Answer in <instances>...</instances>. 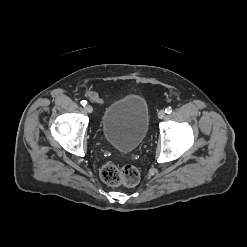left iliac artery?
<instances>
[{
  "label": "left iliac artery",
  "mask_w": 247,
  "mask_h": 247,
  "mask_svg": "<svg viewBox=\"0 0 247 247\" xmlns=\"http://www.w3.org/2000/svg\"><path fill=\"white\" fill-rule=\"evenodd\" d=\"M171 112H172V108L171 107H167L165 109V113L170 114Z\"/></svg>",
  "instance_id": "obj_1"
}]
</instances>
